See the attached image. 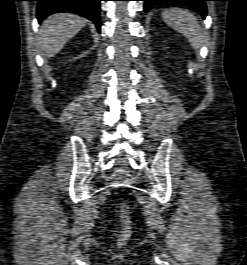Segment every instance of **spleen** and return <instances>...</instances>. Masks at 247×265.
<instances>
[{"mask_svg":"<svg viewBox=\"0 0 247 265\" xmlns=\"http://www.w3.org/2000/svg\"><path fill=\"white\" fill-rule=\"evenodd\" d=\"M164 22L186 36L195 50L202 44V33L197 18L181 8L166 9L162 13Z\"/></svg>","mask_w":247,"mask_h":265,"instance_id":"obj_1","label":"spleen"}]
</instances>
